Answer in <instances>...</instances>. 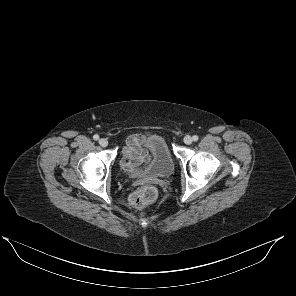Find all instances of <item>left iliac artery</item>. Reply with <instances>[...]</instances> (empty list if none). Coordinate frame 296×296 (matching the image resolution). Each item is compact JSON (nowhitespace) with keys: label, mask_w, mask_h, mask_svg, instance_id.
Instances as JSON below:
<instances>
[{"label":"left iliac artery","mask_w":296,"mask_h":296,"mask_svg":"<svg viewBox=\"0 0 296 296\" xmlns=\"http://www.w3.org/2000/svg\"><path fill=\"white\" fill-rule=\"evenodd\" d=\"M198 140V136L197 135H194L193 136V141H197Z\"/></svg>","instance_id":"obj_1"}]
</instances>
